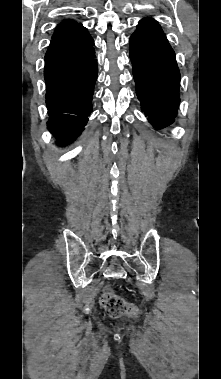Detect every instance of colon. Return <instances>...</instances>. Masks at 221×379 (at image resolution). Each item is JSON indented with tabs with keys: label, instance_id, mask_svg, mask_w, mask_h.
<instances>
[{
	"label": "colon",
	"instance_id": "1",
	"mask_svg": "<svg viewBox=\"0 0 221 379\" xmlns=\"http://www.w3.org/2000/svg\"><path fill=\"white\" fill-rule=\"evenodd\" d=\"M100 304L111 317L115 318L124 315L133 317L136 316L138 312L134 305L128 303L124 298L115 294L109 286H106L103 289Z\"/></svg>",
	"mask_w": 221,
	"mask_h": 379
}]
</instances>
